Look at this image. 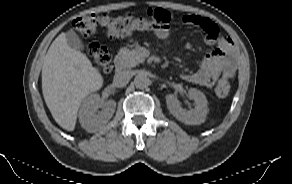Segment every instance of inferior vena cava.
I'll use <instances>...</instances> for the list:
<instances>
[{
    "instance_id": "inferior-vena-cava-1",
    "label": "inferior vena cava",
    "mask_w": 292,
    "mask_h": 184,
    "mask_svg": "<svg viewBox=\"0 0 292 184\" xmlns=\"http://www.w3.org/2000/svg\"><path fill=\"white\" fill-rule=\"evenodd\" d=\"M132 75L129 70L118 71L114 75L113 82L118 87L125 86L131 79Z\"/></svg>"
}]
</instances>
